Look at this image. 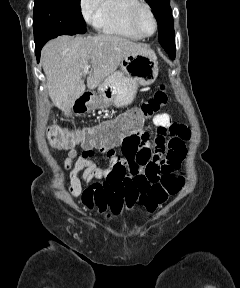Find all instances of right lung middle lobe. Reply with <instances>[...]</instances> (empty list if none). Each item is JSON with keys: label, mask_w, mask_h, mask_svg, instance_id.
Here are the masks:
<instances>
[{"label": "right lung middle lobe", "mask_w": 240, "mask_h": 288, "mask_svg": "<svg viewBox=\"0 0 240 288\" xmlns=\"http://www.w3.org/2000/svg\"><path fill=\"white\" fill-rule=\"evenodd\" d=\"M33 30L35 46L59 35L85 33L80 0H35Z\"/></svg>", "instance_id": "right-lung-middle-lobe-1"}]
</instances>
